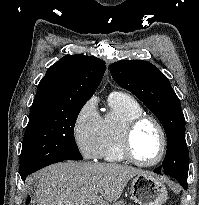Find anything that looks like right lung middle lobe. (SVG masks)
Listing matches in <instances>:
<instances>
[{"mask_svg": "<svg viewBox=\"0 0 199 205\" xmlns=\"http://www.w3.org/2000/svg\"><path fill=\"white\" fill-rule=\"evenodd\" d=\"M87 100L52 105L30 112L20 158V175L50 161L82 160L74 126Z\"/></svg>", "mask_w": 199, "mask_h": 205, "instance_id": "dd1d6c3e", "label": "right lung middle lobe"}]
</instances>
